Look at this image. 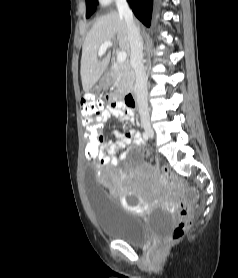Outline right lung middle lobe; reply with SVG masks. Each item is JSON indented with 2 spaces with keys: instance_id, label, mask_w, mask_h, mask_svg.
<instances>
[{
  "instance_id": "dd1d6c3e",
  "label": "right lung middle lobe",
  "mask_w": 238,
  "mask_h": 278,
  "mask_svg": "<svg viewBox=\"0 0 238 278\" xmlns=\"http://www.w3.org/2000/svg\"><path fill=\"white\" fill-rule=\"evenodd\" d=\"M97 0H87L86 2V17H90L96 9Z\"/></svg>"
}]
</instances>
